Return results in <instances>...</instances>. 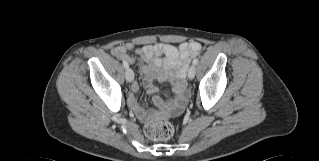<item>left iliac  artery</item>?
I'll return each instance as SVG.
<instances>
[{
    "instance_id": "obj_1",
    "label": "left iliac artery",
    "mask_w": 319,
    "mask_h": 161,
    "mask_svg": "<svg viewBox=\"0 0 319 161\" xmlns=\"http://www.w3.org/2000/svg\"><path fill=\"white\" fill-rule=\"evenodd\" d=\"M197 63H198V59H194L193 60V65H197Z\"/></svg>"
}]
</instances>
